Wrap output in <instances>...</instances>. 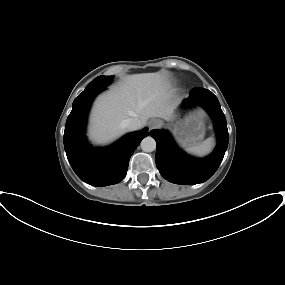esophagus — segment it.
Instances as JSON below:
<instances>
[{"label": "esophagus", "instance_id": "obj_1", "mask_svg": "<svg viewBox=\"0 0 285 285\" xmlns=\"http://www.w3.org/2000/svg\"><path fill=\"white\" fill-rule=\"evenodd\" d=\"M161 125H162V121L159 119H152L149 122V128L150 129H157V128L161 127Z\"/></svg>", "mask_w": 285, "mask_h": 285}]
</instances>
